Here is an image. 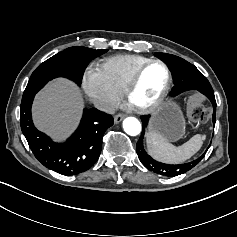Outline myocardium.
I'll return each instance as SVG.
<instances>
[{
    "mask_svg": "<svg viewBox=\"0 0 237 237\" xmlns=\"http://www.w3.org/2000/svg\"><path fill=\"white\" fill-rule=\"evenodd\" d=\"M153 64L161 65L166 71L167 77H166L164 88L162 89L158 97L154 101H152L150 104L145 105V106H137L133 103V94L140 83L143 73L149 66ZM171 84H172V73L168 64L160 59H151L137 70V72L134 74L133 78L129 82L124 92L126 101L128 105L130 106V108L134 110L136 113L143 114V115L150 114L154 112L155 110H157L164 103L165 99L167 98L170 92Z\"/></svg>",
    "mask_w": 237,
    "mask_h": 237,
    "instance_id": "1",
    "label": "myocardium"
}]
</instances>
